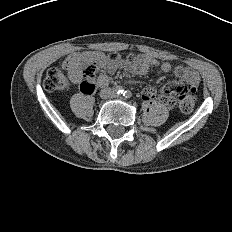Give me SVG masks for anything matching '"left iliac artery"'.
Returning <instances> with one entry per match:
<instances>
[{
	"instance_id": "left-iliac-artery-1",
	"label": "left iliac artery",
	"mask_w": 232,
	"mask_h": 232,
	"mask_svg": "<svg viewBox=\"0 0 232 232\" xmlns=\"http://www.w3.org/2000/svg\"><path fill=\"white\" fill-rule=\"evenodd\" d=\"M123 95L125 96V98H130L132 96V93L129 90H127L123 93Z\"/></svg>"
}]
</instances>
